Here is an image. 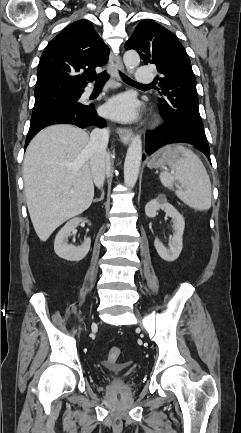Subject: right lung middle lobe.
<instances>
[{"label": "right lung middle lobe", "mask_w": 241, "mask_h": 433, "mask_svg": "<svg viewBox=\"0 0 241 433\" xmlns=\"http://www.w3.org/2000/svg\"><path fill=\"white\" fill-rule=\"evenodd\" d=\"M81 94L78 91H63L36 96L31 119L57 107L78 104Z\"/></svg>", "instance_id": "1"}]
</instances>
